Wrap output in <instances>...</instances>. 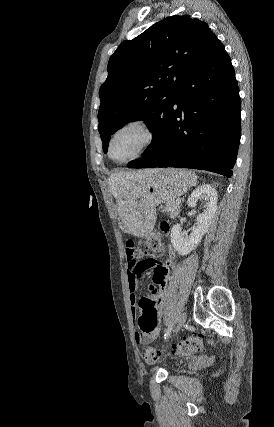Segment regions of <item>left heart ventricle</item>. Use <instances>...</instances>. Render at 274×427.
I'll list each match as a JSON object with an SVG mask.
<instances>
[{
	"label": "left heart ventricle",
	"instance_id": "left-heart-ventricle-1",
	"mask_svg": "<svg viewBox=\"0 0 274 427\" xmlns=\"http://www.w3.org/2000/svg\"><path fill=\"white\" fill-rule=\"evenodd\" d=\"M146 140L145 133L136 127L126 128L113 138L111 154L117 161L130 159L141 148Z\"/></svg>",
	"mask_w": 274,
	"mask_h": 427
}]
</instances>
